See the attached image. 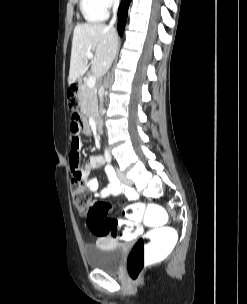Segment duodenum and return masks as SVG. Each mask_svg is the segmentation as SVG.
<instances>
[{
  "label": "duodenum",
  "mask_w": 247,
  "mask_h": 304,
  "mask_svg": "<svg viewBox=\"0 0 247 304\" xmlns=\"http://www.w3.org/2000/svg\"><path fill=\"white\" fill-rule=\"evenodd\" d=\"M76 86H78V88L81 90L83 87H82V80L79 78V79H77V81H76V84H75ZM77 89V88H76ZM100 117L97 115V116H95V125L98 127V129H101V126H99V124H100V122H99V119Z\"/></svg>",
  "instance_id": "duodenum-1"
}]
</instances>
